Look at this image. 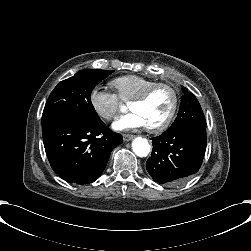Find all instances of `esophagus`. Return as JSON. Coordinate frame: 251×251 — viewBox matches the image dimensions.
Listing matches in <instances>:
<instances>
[{"label": "esophagus", "instance_id": "esophagus-1", "mask_svg": "<svg viewBox=\"0 0 251 251\" xmlns=\"http://www.w3.org/2000/svg\"><path fill=\"white\" fill-rule=\"evenodd\" d=\"M135 136L131 134H123L124 141H131Z\"/></svg>", "mask_w": 251, "mask_h": 251}]
</instances>
